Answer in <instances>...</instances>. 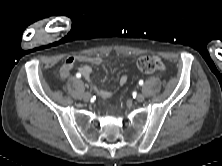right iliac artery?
<instances>
[{
	"instance_id": "82829eb1",
	"label": "right iliac artery",
	"mask_w": 222,
	"mask_h": 166,
	"mask_svg": "<svg viewBox=\"0 0 222 166\" xmlns=\"http://www.w3.org/2000/svg\"><path fill=\"white\" fill-rule=\"evenodd\" d=\"M76 77H77V78H80V77H81V74H80V73H77V74H76Z\"/></svg>"
}]
</instances>
